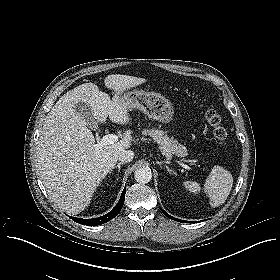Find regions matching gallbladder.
Listing matches in <instances>:
<instances>
[{
    "mask_svg": "<svg viewBox=\"0 0 280 280\" xmlns=\"http://www.w3.org/2000/svg\"><path fill=\"white\" fill-rule=\"evenodd\" d=\"M75 111L85 120L88 126L91 128H96L97 122L93 116L91 107L88 104L83 102L76 104Z\"/></svg>",
    "mask_w": 280,
    "mask_h": 280,
    "instance_id": "obj_1",
    "label": "gallbladder"
}]
</instances>
